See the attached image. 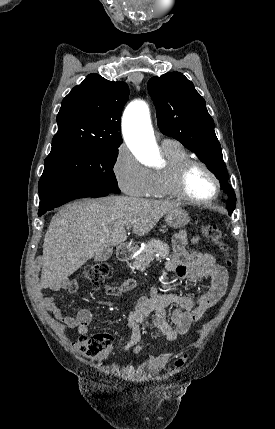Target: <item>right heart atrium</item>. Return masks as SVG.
<instances>
[{"label": "right heart atrium", "mask_w": 275, "mask_h": 429, "mask_svg": "<svg viewBox=\"0 0 275 429\" xmlns=\"http://www.w3.org/2000/svg\"><path fill=\"white\" fill-rule=\"evenodd\" d=\"M113 174L120 189L127 195L145 196L151 185V170L139 162L126 145L116 151Z\"/></svg>", "instance_id": "1"}]
</instances>
